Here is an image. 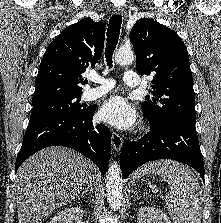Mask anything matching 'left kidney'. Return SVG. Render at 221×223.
<instances>
[{
    "label": "left kidney",
    "mask_w": 221,
    "mask_h": 223,
    "mask_svg": "<svg viewBox=\"0 0 221 223\" xmlns=\"http://www.w3.org/2000/svg\"><path fill=\"white\" fill-rule=\"evenodd\" d=\"M137 219L138 223H172L162 210L151 206L140 208Z\"/></svg>",
    "instance_id": "5707ae66"
}]
</instances>
